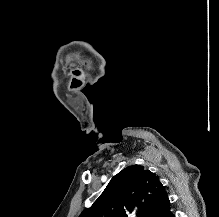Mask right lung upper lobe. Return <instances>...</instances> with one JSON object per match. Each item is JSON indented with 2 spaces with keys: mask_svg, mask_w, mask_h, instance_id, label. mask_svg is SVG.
<instances>
[{
  "mask_svg": "<svg viewBox=\"0 0 219 217\" xmlns=\"http://www.w3.org/2000/svg\"><path fill=\"white\" fill-rule=\"evenodd\" d=\"M169 209L159 178L143 166L132 165L115 175L79 217H164Z\"/></svg>",
  "mask_w": 219,
  "mask_h": 217,
  "instance_id": "right-lung-upper-lobe-1",
  "label": "right lung upper lobe"
}]
</instances>
